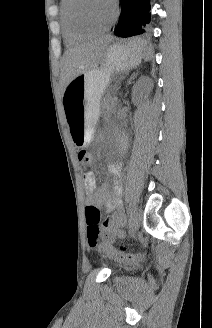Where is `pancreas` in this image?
Instances as JSON below:
<instances>
[{"instance_id": "1", "label": "pancreas", "mask_w": 212, "mask_h": 328, "mask_svg": "<svg viewBox=\"0 0 212 328\" xmlns=\"http://www.w3.org/2000/svg\"><path fill=\"white\" fill-rule=\"evenodd\" d=\"M103 107L108 110H111L115 107L112 97H106L103 100Z\"/></svg>"}]
</instances>
